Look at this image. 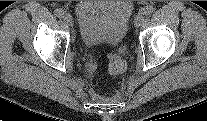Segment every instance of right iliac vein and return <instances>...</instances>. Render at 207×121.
Listing matches in <instances>:
<instances>
[{
	"label": "right iliac vein",
	"instance_id": "1",
	"mask_svg": "<svg viewBox=\"0 0 207 121\" xmlns=\"http://www.w3.org/2000/svg\"><path fill=\"white\" fill-rule=\"evenodd\" d=\"M64 21L69 25L72 26L73 25V18L69 13H65V15L63 16Z\"/></svg>",
	"mask_w": 207,
	"mask_h": 121
}]
</instances>
